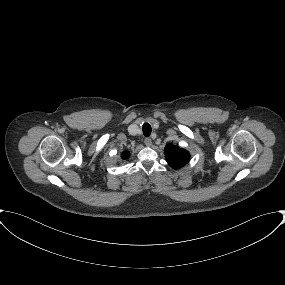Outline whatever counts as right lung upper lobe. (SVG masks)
<instances>
[{
	"label": "right lung upper lobe",
	"instance_id": "1",
	"mask_svg": "<svg viewBox=\"0 0 285 285\" xmlns=\"http://www.w3.org/2000/svg\"><path fill=\"white\" fill-rule=\"evenodd\" d=\"M128 156H129V153H128V152H124V153H122V155H121V157H122L123 159L128 158Z\"/></svg>",
	"mask_w": 285,
	"mask_h": 285
}]
</instances>
